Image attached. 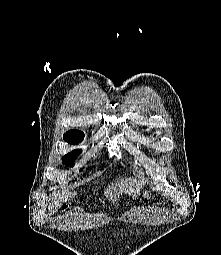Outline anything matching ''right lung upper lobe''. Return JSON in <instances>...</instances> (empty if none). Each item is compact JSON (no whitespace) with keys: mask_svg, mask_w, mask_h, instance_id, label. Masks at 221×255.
Instances as JSON below:
<instances>
[{"mask_svg":"<svg viewBox=\"0 0 221 255\" xmlns=\"http://www.w3.org/2000/svg\"><path fill=\"white\" fill-rule=\"evenodd\" d=\"M71 131H78V130H71ZM78 132H81V131H78Z\"/></svg>","mask_w":221,"mask_h":255,"instance_id":"right-lung-upper-lobe-1","label":"right lung upper lobe"}]
</instances>
